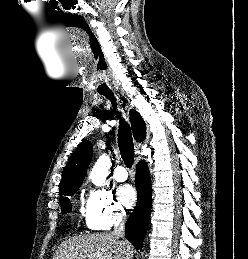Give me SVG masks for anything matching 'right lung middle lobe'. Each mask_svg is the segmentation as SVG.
<instances>
[{"instance_id": "dd1d6c3e", "label": "right lung middle lobe", "mask_w": 248, "mask_h": 259, "mask_svg": "<svg viewBox=\"0 0 248 259\" xmlns=\"http://www.w3.org/2000/svg\"><path fill=\"white\" fill-rule=\"evenodd\" d=\"M77 190L78 189H72V190L66 191L63 194L65 196L60 197V204H61V209H62L63 214H65L67 212H71V204H70L68 197H66V196L73 195Z\"/></svg>"}]
</instances>
